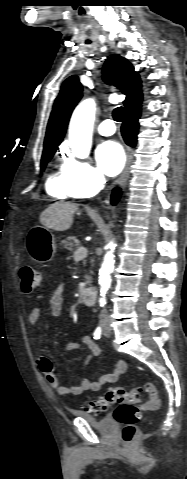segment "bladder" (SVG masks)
<instances>
[{
	"label": "bladder",
	"instance_id": "1",
	"mask_svg": "<svg viewBox=\"0 0 187 479\" xmlns=\"http://www.w3.org/2000/svg\"><path fill=\"white\" fill-rule=\"evenodd\" d=\"M73 415L86 420L90 425L95 427L99 432L103 434H112L116 429V425L110 417L98 419L86 412L78 410L74 411Z\"/></svg>",
	"mask_w": 187,
	"mask_h": 479
}]
</instances>
